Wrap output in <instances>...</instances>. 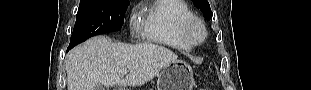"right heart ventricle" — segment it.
<instances>
[{"instance_id": "1", "label": "right heart ventricle", "mask_w": 311, "mask_h": 90, "mask_svg": "<svg viewBox=\"0 0 311 90\" xmlns=\"http://www.w3.org/2000/svg\"><path fill=\"white\" fill-rule=\"evenodd\" d=\"M195 18L190 6L183 0H157L142 12L141 33L150 42L174 49L193 48L183 37V24Z\"/></svg>"}]
</instances>
